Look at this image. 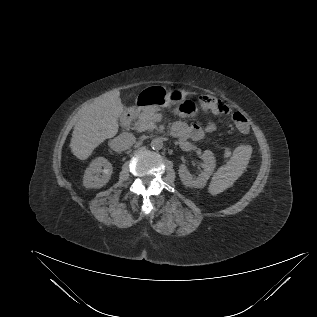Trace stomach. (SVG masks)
<instances>
[{"mask_svg":"<svg viewBox=\"0 0 317 317\" xmlns=\"http://www.w3.org/2000/svg\"><path fill=\"white\" fill-rule=\"evenodd\" d=\"M187 92L183 89L166 90L155 85L144 88L136 97V105L141 108H161L172 105H182L186 100Z\"/></svg>","mask_w":317,"mask_h":317,"instance_id":"1","label":"stomach"}]
</instances>
